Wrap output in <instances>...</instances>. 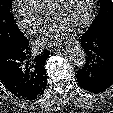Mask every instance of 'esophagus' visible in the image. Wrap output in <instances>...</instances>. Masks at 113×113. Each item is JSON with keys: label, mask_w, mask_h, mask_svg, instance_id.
Returning a JSON list of instances; mask_svg holds the SVG:
<instances>
[{"label": "esophagus", "mask_w": 113, "mask_h": 113, "mask_svg": "<svg viewBox=\"0 0 113 113\" xmlns=\"http://www.w3.org/2000/svg\"><path fill=\"white\" fill-rule=\"evenodd\" d=\"M71 43L78 44V41L77 40L68 41V42H65L64 45L71 44Z\"/></svg>", "instance_id": "34e87169"}]
</instances>
